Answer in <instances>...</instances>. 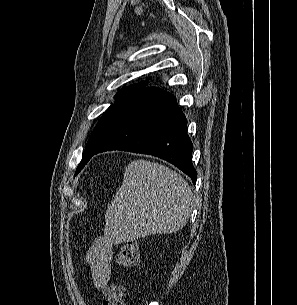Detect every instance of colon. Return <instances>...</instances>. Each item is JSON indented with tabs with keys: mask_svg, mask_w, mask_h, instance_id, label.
<instances>
[{
	"mask_svg": "<svg viewBox=\"0 0 297 305\" xmlns=\"http://www.w3.org/2000/svg\"><path fill=\"white\" fill-rule=\"evenodd\" d=\"M140 258V246L137 242L132 241L120 248L116 263L119 267L131 268L139 263ZM102 305H126L125 289L117 284L107 286L104 291Z\"/></svg>",
	"mask_w": 297,
	"mask_h": 305,
	"instance_id": "1",
	"label": "colon"
}]
</instances>
